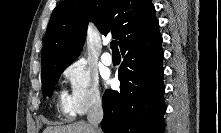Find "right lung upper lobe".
Segmentation results:
<instances>
[{"label":"right lung upper lobe","mask_w":221,"mask_h":133,"mask_svg":"<svg viewBox=\"0 0 221 133\" xmlns=\"http://www.w3.org/2000/svg\"><path fill=\"white\" fill-rule=\"evenodd\" d=\"M119 40L120 49L135 39L159 33L151 0H65L53 11L45 35L42 69L47 65L73 62L85 41L87 25Z\"/></svg>","instance_id":"1"}]
</instances>
